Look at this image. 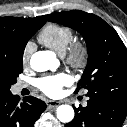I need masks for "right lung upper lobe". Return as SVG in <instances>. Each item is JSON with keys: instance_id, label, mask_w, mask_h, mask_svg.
I'll return each instance as SVG.
<instances>
[{"instance_id": "right-lung-upper-lobe-1", "label": "right lung upper lobe", "mask_w": 127, "mask_h": 127, "mask_svg": "<svg viewBox=\"0 0 127 127\" xmlns=\"http://www.w3.org/2000/svg\"><path fill=\"white\" fill-rule=\"evenodd\" d=\"M48 19V15L35 18H0V52H6L10 42L38 27H42Z\"/></svg>"}]
</instances>
